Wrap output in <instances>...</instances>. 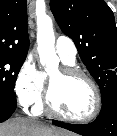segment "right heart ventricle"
<instances>
[{"instance_id":"e07e8e85","label":"right heart ventricle","mask_w":117,"mask_h":136,"mask_svg":"<svg viewBox=\"0 0 117 136\" xmlns=\"http://www.w3.org/2000/svg\"><path fill=\"white\" fill-rule=\"evenodd\" d=\"M64 64L72 66L74 64V62H65L63 61ZM44 77L46 78V75L44 74ZM43 107L42 104L39 103L36 107H35V112L40 113L42 111Z\"/></svg>"}]
</instances>
